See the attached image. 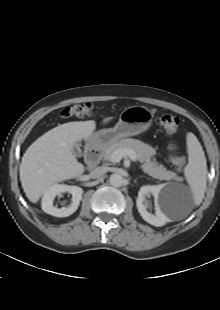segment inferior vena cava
Returning a JSON list of instances; mask_svg holds the SVG:
<instances>
[{"label":"inferior vena cava","instance_id":"obj_1","mask_svg":"<svg viewBox=\"0 0 220 310\" xmlns=\"http://www.w3.org/2000/svg\"><path fill=\"white\" fill-rule=\"evenodd\" d=\"M105 173H106L105 167H97L93 169L89 175L92 179H96V178L103 176Z\"/></svg>","mask_w":220,"mask_h":310}]
</instances>
